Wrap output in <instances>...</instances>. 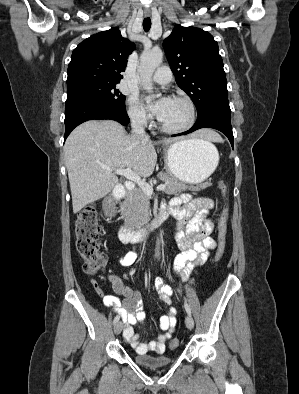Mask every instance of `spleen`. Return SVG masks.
<instances>
[{
	"instance_id": "spleen-1",
	"label": "spleen",
	"mask_w": 299,
	"mask_h": 394,
	"mask_svg": "<svg viewBox=\"0 0 299 394\" xmlns=\"http://www.w3.org/2000/svg\"><path fill=\"white\" fill-rule=\"evenodd\" d=\"M208 144L210 145V147H214L213 144L211 142H208Z\"/></svg>"
}]
</instances>
